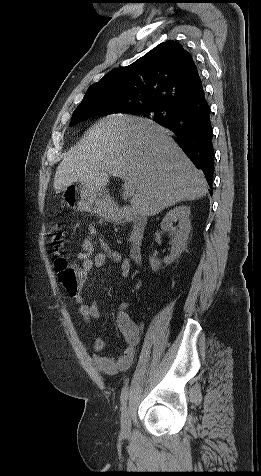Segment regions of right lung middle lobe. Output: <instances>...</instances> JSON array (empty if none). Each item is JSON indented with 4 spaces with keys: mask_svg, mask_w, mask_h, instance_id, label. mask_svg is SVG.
I'll return each instance as SVG.
<instances>
[{
    "mask_svg": "<svg viewBox=\"0 0 261 476\" xmlns=\"http://www.w3.org/2000/svg\"><path fill=\"white\" fill-rule=\"evenodd\" d=\"M175 110L176 109L174 108L163 105L142 106L135 110L129 111L124 106L120 105L88 104L77 107L74 110L70 125H74L91 116L113 113H131L159 121L172 115Z\"/></svg>",
    "mask_w": 261,
    "mask_h": 476,
    "instance_id": "1",
    "label": "right lung middle lobe"
}]
</instances>
